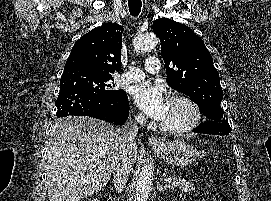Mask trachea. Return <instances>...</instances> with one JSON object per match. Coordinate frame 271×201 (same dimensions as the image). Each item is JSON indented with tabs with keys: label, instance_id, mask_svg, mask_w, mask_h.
Listing matches in <instances>:
<instances>
[{
	"label": "trachea",
	"instance_id": "3493384b",
	"mask_svg": "<svg viewBox=\"0 0 271 201\" xmlns=\"http://www.w3.org/2000/svg\"><path fill=\"white\" fill-rule=\"evenodd\" d=\"M129 12L132 16H137L141 12V0H128Z\"/></svg>",
	"mask_w": 271,
	"mask_h": 201
}]
</instances>
